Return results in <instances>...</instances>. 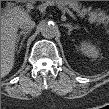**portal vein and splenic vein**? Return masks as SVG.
<instances>
[{
    "instance_id": "1",
    "label": "portal vein and splenic vein",
    "mask_w": 109,
    "mask_h": 109,
    "mask_svg": "<svg viewBox=\"0 0 109 109\" xmlns=\"http://www.w3.org/2000/svg\"><path fill=\"white\" fill-rule=\"evenodd\" d=\"M64 12H67L72 18L76 19L75 15L69 10V9H63ZM25 9L23 7L17 6V7H9L6 8L4 11V15H14V14H20L24 13Z\"/></svg>"
}]
</instances>
